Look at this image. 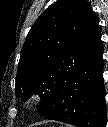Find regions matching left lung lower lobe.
<instances>
[{"label":"left lung lower lobe","mask_w":108,"mask_h":127,"mask_svg":"<svg viewBox=\"0 0 108 127\" xmlns=\"http://www.w3.org/2000/svg\"><path fill=\"white\" fill-rule=\"evenodd\" d=\"M102 55L99 21L89 6L65 57L62 81L41 114L77 127H106Z\"/></svg>","instance_id":"obj_1"}]
</instances>
